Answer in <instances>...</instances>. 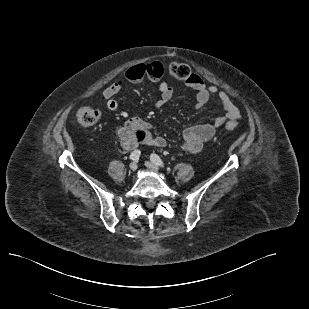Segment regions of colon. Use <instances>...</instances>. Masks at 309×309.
<instances>
[{
	"label": "colon",
	"mask_w": 309,
	"mask_h": 309,
	"mask_svg": "<svg viewBox=\"0 0 309 309\" xmlns=\"http://www.w3.org/2000/svg\"><path fill=\"white\" fill-rule=\"evenodd\" d=\"M169 73L175 79L184 82L188 81L193 76L190 68L183 63L171 64L169 67ZM76 119L81 126L92 128L100 119V111L90 106H83L78 109ZM225 128L228 131H233L237 128V123L228 121L225 124ZM137 136L139 139L142 137L141 134H138Z\"/></svg>",
	"instance_id": "5ec220e1"
}]
</instances>
